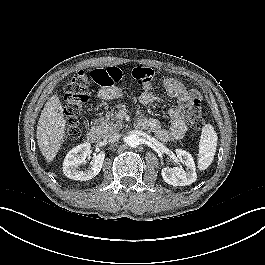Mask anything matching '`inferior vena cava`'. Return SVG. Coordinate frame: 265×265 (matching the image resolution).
I'll return each mask as SVG.
<instances>
[{
  "instance_id": "inferior-vena-cava-1",
  "label": "inferior vena cava",
  "mask_w": 265,
  "mask_h": 265,
  "mask_svg": "<svg viewBox=\"0 0 265 265\" xmlns=\"http://www.w3.org/2000/svg\"><path fill=\"white\" fill-rule=\"evenodd\" d=\"M120 138H121L120 134L112 133V134H109L105 137V142H107L109 144H114V143L118 142Z\"/></svg>"
}]
</instances>
